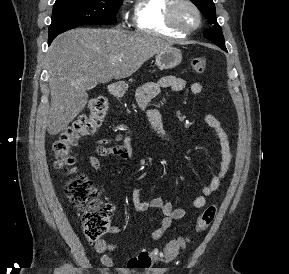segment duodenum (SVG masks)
Instances as JSON below:
<instances>
[{"mask_svg":"<svg viewBox=\"0 0 289 274\" xmlns=\"http://www.w3.org/2000/svg\"><path fill=\"white\" fill-rule=\"evenodd\" d=\"M111 91L115 95L119 94V90H118V88L116 86H111Z\"/></svg>","mask_w":289,"mask_h":274,"instance_id":"duodenum-1","label":"duodenum"}]
</instances>
